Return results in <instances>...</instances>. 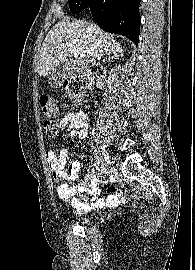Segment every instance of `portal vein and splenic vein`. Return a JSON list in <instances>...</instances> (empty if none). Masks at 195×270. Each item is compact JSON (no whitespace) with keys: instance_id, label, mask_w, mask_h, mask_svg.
Wrapping results in <instances>:
<instances>
[{"instance_id":"portal-vein-and-splenic-vein-1","label":"portal vein and splenic vein","mask_w":195,"mask_h":270,"mask_svg":"<svg viewBox=\"0 0 195 270\" xmlns=\"http://www.w3.org/2000/svg\"><path fill=\"white\" fill-rule=\"evenodd\" d=\"M70 53L73 57H77L78 56V52L76 50H70Z\"/></svg>"}]
</instances>
